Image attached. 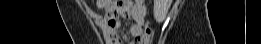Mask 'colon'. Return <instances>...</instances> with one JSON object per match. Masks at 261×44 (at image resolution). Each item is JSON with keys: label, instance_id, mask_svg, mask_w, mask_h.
<instances>
[{"label": "colon", "instance_id": "obj_1", "mask_svg": "<svg viewBox=\"0 0 261 44\" xmlns=\"http://www.w3.org/2000/svg\"><path fill=\"white\" fill-rule=\"evenodd\" d=\"M100 6H116L118 8H124V6H133L134 2L133 1H113V0H103L99 2ZM151 36H152V29L148 24L144 27L142 34L140 37L136 40L137 44H149L151 41Z\"/></svg>", "mask_w": 261, "mask_h": 44}]
</instances>
